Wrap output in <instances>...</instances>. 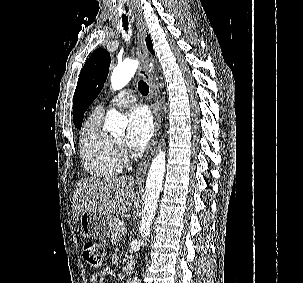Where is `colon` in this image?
Masks as SVG:
<instances>
[{
  "mask_svg": "<svg viewBox=\"0 0 303 283\" xmlns=\"http://www.w3.org/2000/svg\"><path fill=\"white\" fill-rule=\"evenodd\" d=\"M82 256L92 268H99L110 255V248L106 243L87 241L82 245Z\"/></svg>",
  "mask_w": 303,
  "mask_h": 283,
  "instance_id": "1",
  "label": "colon"
}]
</instances>
